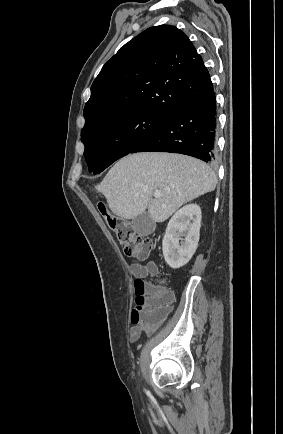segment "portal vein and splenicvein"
<instances>
[{"instance_id":"obj_1","label":"portal vein and splenic vein","mask_w":283,"mask_h":434,"mask_svg":"<svg viewBox=\"0 0 283 434\" xmlns=\"http://www.w3.org/2000/svg\"><path fill=\"white\" fill-rule=\"evenodd\" d=\"M154 197H155V198H159V197H161V191L156 190V191L154 192Z\"/></svg>"}]
</instances>
